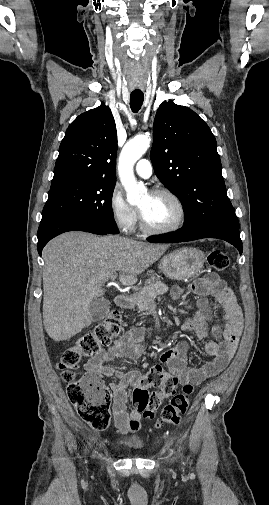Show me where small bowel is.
<instances>
[{
	"label": "small bowel",
	"instance_id": "c3829d8e",
	"mask_svg": "<svg viewBox=\"0 0 269 505\" xmlns=\"http://www.w3.org/2000/svg\"><path fill=\"white\" fill-rule=\"evenodd\" d=\"M190 290L199 296L198 309L185 319L184 327L186 330H193L199 339L205 338L208 334L212 336L214 340L204 345L205 353L211 356L212 360L200 367L188 366L186 357L188 345L183 341L165 351L160 359L161 364L154 366L162 368V365H166L170 375L174 376L181 385H199L224 370L236 350L242 332L241 309L232 290L217 273L209 272L203 278L194 281L190 285ZM179 293L178 288L173 289L175 296ZM208 296L220 304L225 321L223 326L210 325L212 311L206 300ZM141 333L140 327L133 328L85 364L87 374L119 378L118 383L111 384V389L114 423L122 434L134 433L141 428V413L135 408L126 409L127 387L136 385L141 376L136 371L121 373L115 366L107 363L116 357L135 359L141 356L144 345L135 341Z\"/></svg>",
	"mask_w": 269,
	"mask_h": 505
}]
</instances>
